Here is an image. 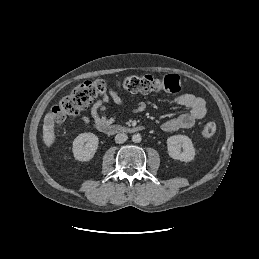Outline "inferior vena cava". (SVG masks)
<instances>
[{"label":"inferior vena cava","mask_w":259,"mask_h":259,"mask_svg":"<svg viewBox=\"0 0 259 259\" xmlns=\"http://www.w3.org/2000/svg\"><path fill=\"white\" fill-rule=\"evenodd\" d=\"M127 139H128V136L125 133H118L115 136V142L118 144L124 143Z\"/></svg>","instance_id":"inferior-vena-cava-1"}]
</instances>
